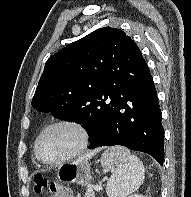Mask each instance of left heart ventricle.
Segmentation results:
<instances>
[{"label":"left heart ventricle","mask_w":191,"mask_h":197,"mask_svg":"<svg viewBox=\"0 0 191 197\" xmlns=\"http://www.w3.org/2000/svg\"><path fill=\"white\" fill-rule=\"evenodd\" d=\"M79 144L80 136L75 129L59 126L45 132L39 143V152L43 159L52 161L70 154Z\"/></svg>","instance_id":"obj_1"}]
</instances>
